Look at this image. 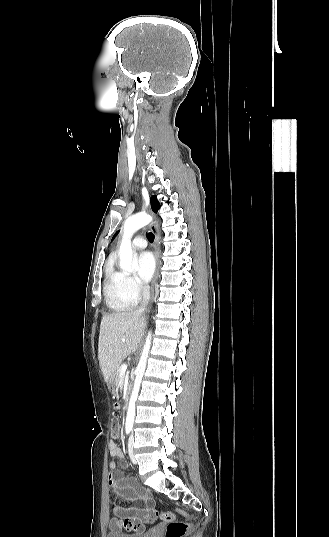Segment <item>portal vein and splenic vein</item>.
I'll list each match as a JSON object with an SVG mask.
<instances>
[{
    "label": "portal vein and splenic vein",
    "mask_w": 329,
    "mask_h": 537,
    "mask_svg": "<svg viewBox=\"0 0 329 537\" xmlns=\"http://www.w3.org/2000/svg\"><path fill=\"white\" fill-rule=\"evenodd\" d=\"M126 370H127V365H126V364H123V365L121 366V375H123V374L126 372Z\"/></svg>",
    "instance_id": "18ae733b"
}]
</instances>
